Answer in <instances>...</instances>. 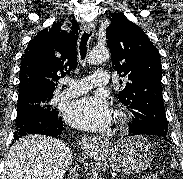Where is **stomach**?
<instances>
[{"mask_svg":"<svg viewBox=\"0 0 183 179\" xmlns=\"http://www.w3.org/2000/svg\"><path fill=\"white\" fill-rule=\"evenodd\" d=\"M96 158L114 172L135 174L146 170L153 160V149L142 136L119 139L111 147H103Z\"/></svg>","mask_w":183,"mask_h":179,"instance_id":"1","label":"stomach"}]
</instances>
